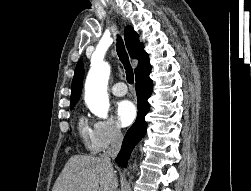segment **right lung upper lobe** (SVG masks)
Listing matches in <instances>:
<instances>
[{
	"label": "right lung upper lobe",
	"mask_w": 251,
	"mask_h": 191,
	"mask_svg": "<svg viewBox=\"0 0 251 191\" xmlns=\"http://www.w3.org/2000/svg\"><path fill=\"white\" fill-rule=\"evenodd\" d=\"M125 42L130 56L138 59V65L135 68L136 80L149 77L151 65L149 64L148 54L144 51V46L139 41V35L131 26L125 28ZM83 77L84 66L83 63L79 61L76 65L72 80L70 105L76 104L81 96Z\"/></svg>",
	"instance_id": "cb5924a9"
}]
</instances>
